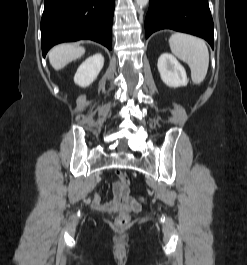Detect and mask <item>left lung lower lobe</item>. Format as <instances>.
Wrapping results in <instances>:
<instances>
[{
    "label": "left lung lower lobe",
    "mask_w": 247,
    "mask_h": 265,
    "mask_svg": "<svg viewBox=\"0 0 247 265\" xmlns=\"http://www.w3.org/2000/svg\"><path fill=\"white\" fill-rule=\"evenodd\" d=\"M160 29L199 36L214 48L213 19L208 0H150L145 19L146 38Z\"/></svg>",
    "instance_id": "left-lung-lower-lobe-1"
}]
</instances>
